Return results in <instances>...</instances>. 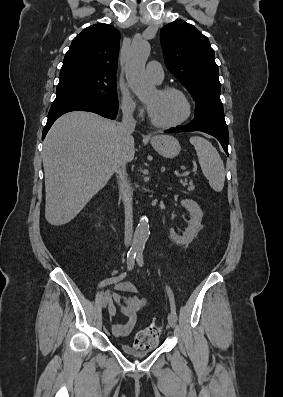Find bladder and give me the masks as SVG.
<instances>
[{
  "instance_id": "1",
  "label": "bladder",
  "mask_w": 283,
  "mask_h": 397,
  "mask_svg": "<svg viewBox=\"0 0 283 397\" xmlns=\"http://www.w3.org/2000/svg\"><path fill=\"white\" fill-rule=\"evenodd\" d=\"M157 348V343H154L153 345H151L148 348H135L131 345L128 344H120L119 345V349L121 350V352H123L124 354L134 357V358H142L145 357L147 355H149L150 353H152L153 351H155V349Z\"/></svg>"
}]
</instances>
